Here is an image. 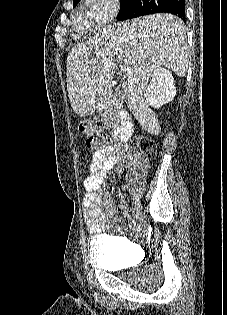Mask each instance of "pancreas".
<instances>
[{
    "label": "pancreas",
    "mask_w": 227,
    "mask_h": 315,
    "mask_svg": "<svg viewBox=\"0 0 227 315\" xmlns=\"http://www.w3.org/2000/svg\"><path fill=\"white\" fill-rule=\"evenodd\" d=\"M102 117H103V120H104L105 122H107V121L109 120V117L107 116V112H104L103 115H102Z\"/></svg>",
    "instance_id": "1"
}]
</instances>
